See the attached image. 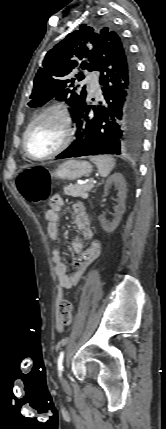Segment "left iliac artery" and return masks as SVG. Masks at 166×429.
<instances>
[{"mask_svg": "<svg viewBox=\"0 0 166 429\" xmlns=\"http://www.w3.org/2000/svg\"><path fill=\"white\" fill-rule=\"evenodd\" d=\"M63 359H64V351L60 352L58 360H57L58 371H59L60 375H61V372L63 370Z\"/></svg>", "mask_w": 166, "mask_h": 429, "instance_id": "obj_1", "label": "left iliac artery"}]
</instances>
